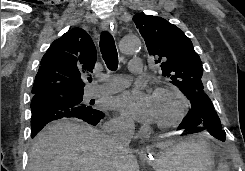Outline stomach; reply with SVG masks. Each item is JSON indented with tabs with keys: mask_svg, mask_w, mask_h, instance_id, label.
<instances>
[{
	"mask_svg": "<svg viewBox=\"0 0 245 171\" xmlns=\"http://www.w3.org/2000/svg\"><path fill=\"white\" fill-rule=\"evenodd\" d=\"M216 146L204 134L160 148L149 159L155 171H213Z\"/></svg>",
	"mask_w": 245,
	"mask_h": 171,
	"instance_id": "0dacf381",
	"label": "stomach"
}]
</instances>
